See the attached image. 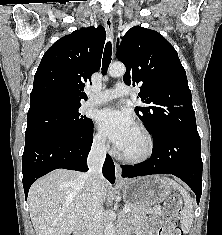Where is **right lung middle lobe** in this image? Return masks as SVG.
I'll return each instance as SVG.
<instances>
[{
	"label": "right lung middle lobe",
	"instance_id": "dd1d6c3e",
	"mask_svg": "<svg viewBox=\"0 0 222 235\" xmlns=\"http://www.w3.org/2000/svg\"><path fill=\"white\" fill-rule=\"evenodd\" d=\"M81 104L56 107L27 117L25 147L50 138L77 139L92 127L91 119L79 113Z\"/></svg>",
	"mask_w": 222,
	"mask_h": 235
}]
</instances>
